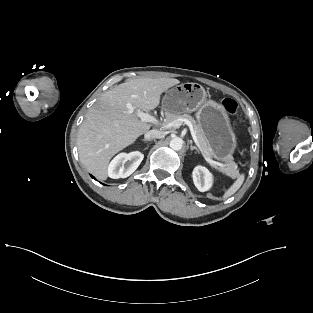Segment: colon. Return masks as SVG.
<instances>
[{
    "instance_id": "colon-1",
    "label": "colon",
    "mask_w": 313,
    "mask_h": 313,
    "mask_svg": "<svg viewBox=\"0 0 313 313\" xmlns=\"http://www.w3.org/2000/svg\"><path fill=\"white\" fill-rule=\"evenodd\" d=\"M221 105L224 109V111L228 114V115H233L236 110H237V102L232 99V98H222L220 100Z\"/></svg>"
}]
</instances>
